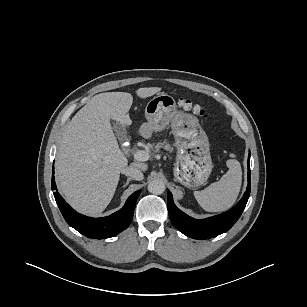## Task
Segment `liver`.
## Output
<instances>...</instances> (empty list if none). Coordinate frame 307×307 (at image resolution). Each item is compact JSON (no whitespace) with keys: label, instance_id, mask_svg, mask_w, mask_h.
<instances>
[{"label":"liver","instance_id":"liver-1","mask_svg":"<svg viewBox=\"0 0 307 307\" xmlns=\"http://www.w3.org/2000/svg\"><path fill=\"white\" fill-rule=\"evenodd\" d=\"M161 88H139L140 98ZM133 96L127 92L95 95L72 118L63 133L56 157V181L67 202L77 211L98 215L112 200L120 172L128 165L113 133L110 120L124 128ZM143 171L147 164H134Z\"/></svg>","mask_w":307,"mask_h":307}]
</instances>
